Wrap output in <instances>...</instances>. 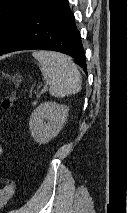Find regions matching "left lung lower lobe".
Returning a JSON list of instances; mask_svg holds the SVG:
<instances>
[{
	"label": "left lung lower lobe",
	"mask_w": 128,
	"mask_h": 213,
	"mask_svg": "<svg viewBox=\"0 0 128 213\" xmlns=\"http://www.w3.org/2000/svg\"><path fill=\"white\" fill-rule=\"evenodd\" d=\"M32 49L58 51L72 56L87 72L80 32L68 0H39L0 55Z\"/></svg>",
	"instance_id": "1"
}]
</instances>
